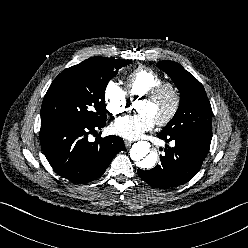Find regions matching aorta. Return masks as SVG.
<instances>
[{
    "label": "aorta",
    "instance_id": "aorta-1",
    "mask_svg": "<svg viewBox=\"0 0 248 248\" xmlns=\"http://www.w3.org/2000/svg\"><path fill=\"white\" fill-rule=\"evenodd\" d=\"M130 157L137 166L143 169L153 168L158 161L157 152L151 151V145L147 141H138L130 149Z\"/></svg>",
    "mask_w": 248,
    "mask_h": 248
}]
</instances>
